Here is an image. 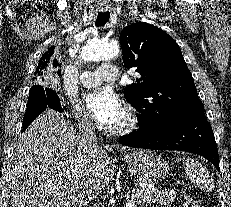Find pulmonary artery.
<instances>
[{
    "label": "pulmonary artery",
    "mask_w": 231,
    "mask_h": 207,
    "mask_svg": "<svg viewBox=\"0 0 231 207\" xmlns=\"http://www.w3.org/2000/svg\"><path fill=\"white\" fill-rule=\"evenodd\" d=\"M120 72L114 64H102L95 71H84L80 76V82L86 87H94L102 81H115L119 78Z\"/></svg>",
    "instance_id": "1"
}]
</instances>
